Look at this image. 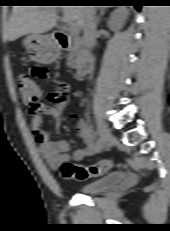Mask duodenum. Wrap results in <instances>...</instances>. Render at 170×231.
Instances as JSON below:
<instances>
[{"mask_svg":"<svg viewBox=\"0 0 170 231\" xmlns=\"http://www.w3.org/2000/svg\"><path fill=\"white\" fill-rule=\"evenodd\" d=\"M55 39L59 47L64 50L79 44V42L72 40L70 36L64 31L56 32ZM93 62V55L89 51L83 50L78 53L74 63V68L80 76H85L90 73Z\"/></svg>","mask_w":170,"mask_h":231,"instance_id":"410a0bca","label":"duodenum"}]
</instances>
